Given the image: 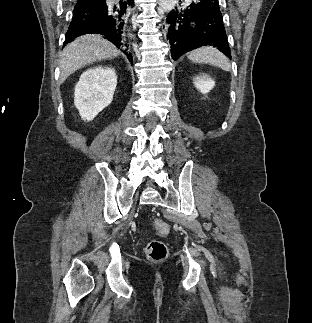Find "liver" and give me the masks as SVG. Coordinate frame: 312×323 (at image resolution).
I'll return each instance as SVG.
<instances>
[{"instance_id":"6515ba94","label":"liver","mask_w":312,"mask_h":323,"mask_svg":"<svg viewBox=\"0 0 312 323\" xmlns=\"http://www.w3.org/2000/svg\"><path fill=\"white\" fill-rule=\"evenodd\" d=\"M119 54L118 48L99 34H86L75 38L74 42L64 48L59 60L60 84H63L70 74H74L82 66L114 58Z\"/></svg>"}]
</instances>
